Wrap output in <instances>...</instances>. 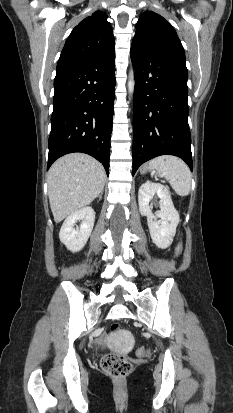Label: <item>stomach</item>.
<instances>
[{
  "mask_svg": "<svg viewBox=\"0 0 233 413\" xmlns=\"http://www.w3.org/2000/svg\"><path fill=\"white\" fill-rule=\"evenodd\" d=\"M150 170V168L148 166H144L141 170L142 173H146Z\"/></svg>",
  "mask_w": 233,
  "mask_h": 413,
  "instance_id": "obj_1",
  "label": "stomach"
}]
</instances>
